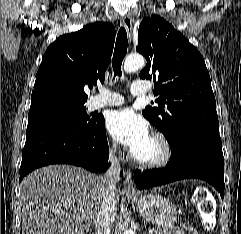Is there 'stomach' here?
Returning <instances> with one entry per match:
<instances>
[{
	"mask_svg": "<svg viewBox=\"0 0 241 234\" xmlns=\"http://www.w3.org/2000/svg\"><path fill=\"white\" fill-rule=\"evenodd\" d=\"M127 198L142 217L159 229H170L176 221V207L160 194L150 193Z\"/></svg>",
	"mask_w": 241,
	"mask_h": 234,
	"instance_id": "1",
	"label": "stomach"
}]
</instances>
